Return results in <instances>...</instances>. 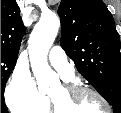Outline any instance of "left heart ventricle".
Returning a JSON list of instances; mask_svg holds the SVG:
<instances>
[{
  "label": "left heart ventricle",
  "mask_w": 121,
  "mask_h": 113,
  "mask_svg": "<svg viewBox=\"0 0 121 113\" xmlns=\"http://www.w3.org/2000/svg\"><path fill=\"white\" fill-rule=\"evenodd\" d=\"M49 95L56 99L60 104L61 111L67 112L70 110H78L80 112L104 113L105 107L103 103L94 95L90 93L82 94L77 98L73 108H68L66 105L67 95L61 86L55 88Z\"/></svg>",
  "instance_id": "left-heart-ventricle-1"
}]
</instances>
